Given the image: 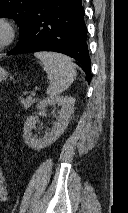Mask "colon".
<instances>
[{
	"mask_svg": "<svg viewBox=\"0 0 128 213\" xmlns=\"http://www.w3.org/2000/svg\"><path fill=\"white\" fill-rule=\"evenodd\" d=\"M8 198V191L5 184V177L0 167V203H3Z\"/></svg>",
	"mask_w": 128,
	"mask_h": 213,
	"instance_id": "obj_1",
	"label": "colon"
}]
</instances>
